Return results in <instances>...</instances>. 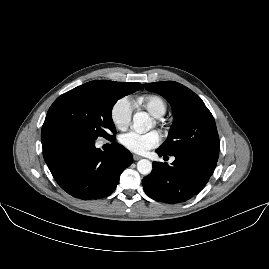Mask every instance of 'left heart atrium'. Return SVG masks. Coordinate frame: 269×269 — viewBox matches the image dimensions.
Here are the masks:
<instances>
[{"instance_id":"1","label":"left heart atrium","mask_w":269,"mask_h":269,"mask_svg":"<svg viewBox=\"0 0 269 269\" xmlns=\"http://www.w3.org/2000/svg\"><path fill=\"white\" fill-rule=\"evenodd\" d=\"M119 142L128 151L143 154L161 143V135L158 131L140 133L130 130L119 136Z\"/></svg>"}]
</instances>
